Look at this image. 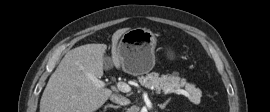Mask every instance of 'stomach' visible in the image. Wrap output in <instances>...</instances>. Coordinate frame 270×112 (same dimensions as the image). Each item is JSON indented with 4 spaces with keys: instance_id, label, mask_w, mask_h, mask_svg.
<instances>
[{
    "instance_id": "obj_1",
    "label": "stomach",
    "mask_w": 270,
    "mask_h": 112,
    "mask_svg": "<svg viewBox=\"0 0 270 112\" xmlns=\"http://www.w3.org/2000/svg\"><path fill=\"white\" fill-rule=\"evenodd\" d=\"M155 35L146 28H135L123 34L117 52L122 69L132 75L148 73L155 64ZM172 58L173 53H169Z\"/></svg>"
}]
</instances>
